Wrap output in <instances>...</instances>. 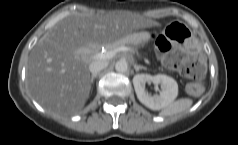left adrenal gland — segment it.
Here are the masks:
<instances>
[{
  "label": "left adrenal gland",
  "instance_id": "1",
  "mask_svg": "<svg viewBox=\"0 0 238 145\" xmlns=\"http://www.w3.org/2000/svg\"><path fill=\"white\" fill-rule=\"evenodd\" d=\"M134 69L136 72H138L139 70H146V67H143V66H140V65H137V64H134Z\"/></svg>",
  "mask_w": 238,
  "mask_h": 145
}]
</instances>
